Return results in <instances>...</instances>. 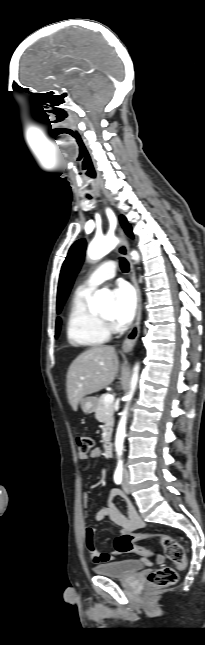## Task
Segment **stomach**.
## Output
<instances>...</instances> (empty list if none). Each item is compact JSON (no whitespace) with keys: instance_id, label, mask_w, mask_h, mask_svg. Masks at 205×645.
Returning a JSON list of instances; mask_svg holds the SVG:
<instances>
[{"instance_id":"obj_1","label":"stomach","mask_w":205,"mask_h":645,"mask_svg":"<svg viewBox=\"0 0 205 645\" xmlns=\"http://www.w3.org/2000/svg\"><path fill=\"white\" fill-rule=\"evenodd\" d=\"M97 402L98 400L96 397L83 398L80 402L82 411L86 414L93 413L96 409Z\"/></svg>"}]
</instances>
